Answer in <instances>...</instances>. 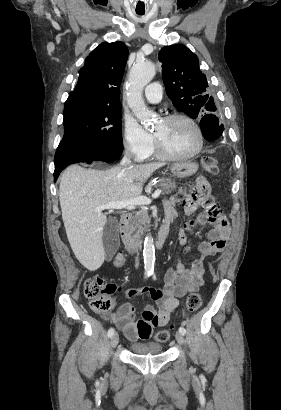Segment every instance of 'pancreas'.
Returning a JSON list of instances; mask_svg holds the SVG:
<instances>
[{
    "label": "pancreas",
    "mask_w": 281,
    "mask_h": 410,
    "mask_svg": "<svg viewBox=\"0 0 281 410\" xmlns=\"http://www.w3.org/2000/svg\"><path fill=\"white\" fill-rule=\"evenodd\" d=\"M176 181L169 178H162L155 185L156 188H161L163 194H171L176 188ZM150 222L147 209L142 207L133 214H128L126 225V234L128 238H136L142 234L146 225Z\"/></svg>",
    "instance_id": "obj_1"
}]
</instances>
